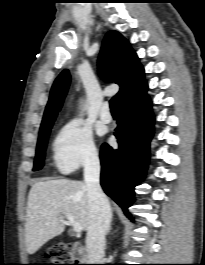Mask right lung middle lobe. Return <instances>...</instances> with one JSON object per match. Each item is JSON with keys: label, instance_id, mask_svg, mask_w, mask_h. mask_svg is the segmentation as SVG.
I'll list each match as a JSON object with an SVG mask.
<instances>
[{"label": "right lung middle lobe", "instance_id": "obj_1", "mask_svg": "<svg viewBox=\"0 0 205 265\" xmlns=\"http://www.w3.org/2000/svg\"><path fill=\"white\" fill-rule=\"evenodd\" d=\"M51 127L52 125H49L40 130L39 139H38L37 148H36V157L34 161V168H33L34 171L39 170L43 167L45 149H46L47 140L50 134Z\"/></svg>", "mask_w": 205, "mask_h": 265}]
</instances>
